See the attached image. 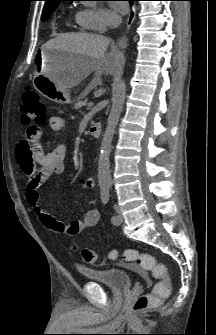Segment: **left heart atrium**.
Here are the masks:
<instances>
[{
  "label": "left heart atrium",
  "instance_id": "39dd6f15",
  "mask_svg": "<svg viewBox=\"0 0 216 335\" xmlns=\"http://www.w3.org/2000/svg\"><path fill=\"white\" fill-rule=\"evenodd\" d=\"M112 7L119 14H124L127 11L125 4L121 1L113 2Z\"/></svg>",
  "mask_w": 216,
  "mask_h": 335
}]
</instances>
